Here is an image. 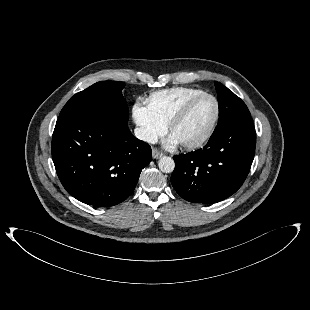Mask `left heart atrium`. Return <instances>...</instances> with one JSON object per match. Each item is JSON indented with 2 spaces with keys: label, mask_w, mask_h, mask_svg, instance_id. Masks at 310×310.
Wrapping results in <instances>:
<instances>
[{
  "label": "left heart atrium",
  "mask_w": 310,
  "mask_h": 310,
  "mask_svg": "<svg viewBox=\"0 0 310 310\" xmlns=\"http://www.w3.org/2000/svg\"><path fill=\"white\" fill-rule=\"evenodd\" d=\"M167 143H169V144H171V145H175V144H177V143H179V142H178L177 139L171 134V135L168 137V139H167Z\"/></svg>",
  "instance_id": "obj_1"
}]
</instances>
